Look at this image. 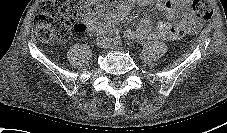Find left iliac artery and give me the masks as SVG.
I'll return each mask as SVG.
<instances>
[{
	"mask_svg": "<svg viewBox=\"0 0 227 133\" xmlns=\"http://www.w3.org/2000/svg\"><path fill=\"white\" fill-rule=\"evenodd\" d=\"M113 43H114L115 45H120V44H121V38H120V36L116 35V36L114 37V39H113Z\"/></svg>",
	"mask_w": 227,
	"mask_h": 133,
	"instance_id": "44dca946",
	"label": "left iliac artery"
}]
</instances>
